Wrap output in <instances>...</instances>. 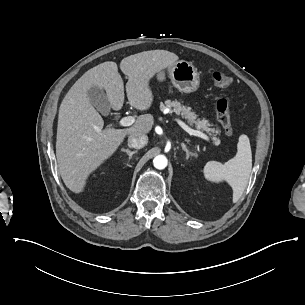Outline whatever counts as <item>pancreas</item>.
I'll use <instances>...</instances> for the list:
<instances>
[{
	"instance_id": "1",
	"label": "pancreas",
	"mask_w": 305,
	"mask_h": 305,
	"mask_svg": "<svg viewBox=\"0 0 305 305\" xmlns=\"http://www.w3.org/2000/svg\"><path fill=\"white\" fill-rule=\"evenodd\" d=\"M166 109H170L169 113H176L177 115H181L182 118L187 119V122L193 126L195 125L196 129L207 132L210 136L215 137L216 135L221 133V130L217 128H211L214 126L210 124L206 119H199L195 112L191 111V107H187L182 105L179 101H171L166 100L164 103H160V110L164 111ZM215 143L220 142L218 138L215 139Z\"/></svg>"
}]
</instances>
